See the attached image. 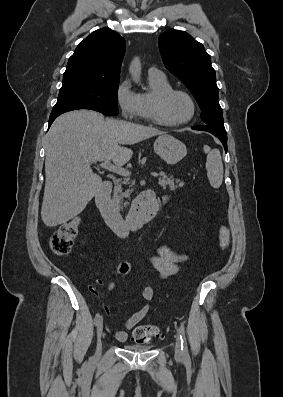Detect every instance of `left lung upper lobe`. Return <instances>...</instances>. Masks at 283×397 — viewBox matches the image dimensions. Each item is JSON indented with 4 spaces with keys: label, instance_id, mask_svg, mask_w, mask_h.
Listing matches in <instances>:
<instances>
[{
    "label": "left lung upper lobe",
    "instance_id": "left-lung-upper-lobe-1",
    "mask_svg": "<svg viewBox=\"0 0 283 397\" xmlns=\"http://www.w3.org/2000/svg\"><path fill=\"white\" fill-rule=\"evenodd\" d=\"M159 50L166 68L178 77L197 100L203 122L225 130L219 105L216 73L204 46L184 31L170 29L159 36Z\"/></svg>",
    "mask_w": 283,
    "mask_h": 397
}]
</instances>
